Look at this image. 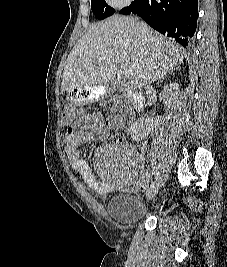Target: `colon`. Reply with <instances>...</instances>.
I'll use <instances>...</instances> for the list:
<instances>
[{
    "label": "colon",
    "instance_id": "colon-1",
    "mask_svg": "<svg viewBox=\"0 0 227 267\" xmlns=\"http://www.w3.org/2000/svg\"><path fill=\"white\" fill-rule=\"evenodd\" d=\"M62 118L64 122L68 123L73 119H83V114H79L72 104H66L63 108Z\"/></svg>",
    "mask_w": 227,
    "mask_h": 267
}]
</instances>
